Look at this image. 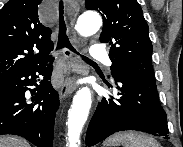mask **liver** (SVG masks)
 I'll return each mask as SVG.
<instances>
[{"label":"liver","mask_w":183,"mask_h":147,"mask_svg":"<svg viewBox=\"0 0 183 147\" xmlns=\"http://www.w3.org/2000/svg\"><path fill=\"white\" fill-rule=\"evenodd\" d=\"M0 147H29V144L16 137L0 136Z\"/></svg>","instance_id":"obj_1"}]
</instances>
